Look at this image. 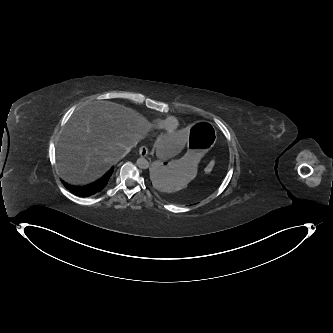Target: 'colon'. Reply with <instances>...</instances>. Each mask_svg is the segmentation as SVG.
Returning <instances> with one entry per match:
<instances>
[{
  "mask_svg": "<svg viewBox=\"0 0 333 333\" xmlns=\"http://www.w3.org/2000/svg\"><path fill=\"white\" fill-rule=\"evenodd\" d=\"M214 164H215V162L213 160L210 161V163L207 165L206 172L211 171V169L213 168Z\"/></svg>",
  "mask_w": 333,
  "mask_h": 333,
  "instance_id": "colon-1",
  "label": "colon"
}]
</instances>
